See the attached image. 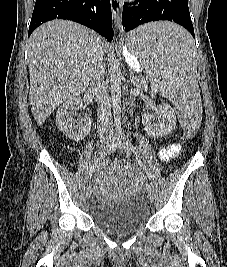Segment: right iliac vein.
<instances>
[{"instance_id": "1", "label": "right iliac vein", "mask_w": 227, "mask_h": 267, "mask_svg": "<svg viewBox=\"0 0 227 267\" xmlns=\"http://www.w3.org/2000/svg\"><path fill=\"white\" fill-rule=\"evenodd\" d=\"M110 143H111V141H110L109 137H107V136H102V137L100 138V144H101V147H102L103 149L108 148V147L110 146ZM91 194H92V189H91V185H89V186L87 187V190H86V198L89 199V198L91 197Z\"/></svg>"}]
</instances>
